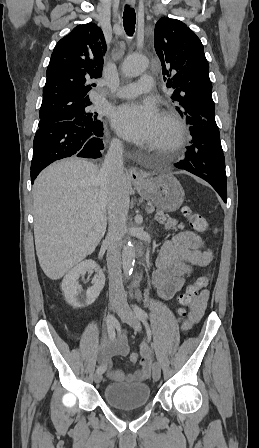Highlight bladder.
<instances>
[{
	"instance_id": "bladder-1",
	"label": "bladder",
	"mask_w": 259,
	"mask_h": 448,
	"mask_svg": "<svg viewBox=\"0 0 259 448\" xmlns=\"http://www.w3.org/2000/svg\"><path fill=\"white\" fill-rule=\"evenodd\" d=\"M104 398L111 406L132 410L145 406L150 399V387L146 383H112L104 389Z\"/></svg>"
}]
</instances>
